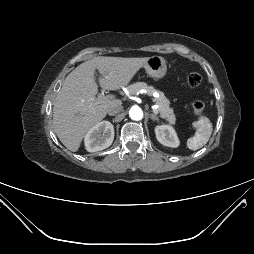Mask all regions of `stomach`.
<instances>
[{"mask_svg":"<svg viewBox=\"0 0 254 254\" xmlns=\"http://www.w3.org/2000/svg\"><path fill=\"white\" fill-rule=\"evenodd\" d=\"M143 67L146 73L154 79L163 78L167 72V65L165 59L157 55L149 57Z\"/></svg>","mask_w":254,"mask_h":254,"instance_id":"stomach-1","label":"stomach"}]
</instances>
